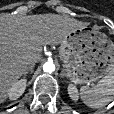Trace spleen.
Returning <instances> with one entry per match:
<instances>
[{
    "label": "spleen",
    "mask_w": 114,
    "mask_h": 114,
    "mask_svg": "<svg viewBox=\"0 0 114 114\" xmlns=\"http://www.w3.org/2000/svg\"><path fill=\"white\" fill-rule=\"evenodd\" d=\"M80 97L84 104L90 108H100L111 102L114 98V69L94 87L82 86Z\"/></svg>",
    "instance_id": "obj_1"
}]
</instances>
